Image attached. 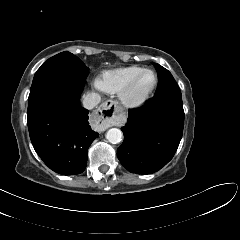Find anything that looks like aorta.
Listing matches in <instances>:
<instances>
[{
    "label": "aorta",
    "instance_id": "1",
    "mask_svg": "<svg viewBox=\"0 0 240 240\" xmlns=\"http://www.w3.org/2000/svg\"><path fill=\"white\" fill-rule=\"evenodd\" d=\"M122 136L123 134L121 130L117 128H111L106 133V139L112 144H117L121 142Z\"/></svg>",
    "mask_w": 240,
    "mask_h": 240
}]
</instances>
